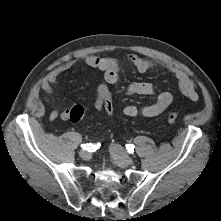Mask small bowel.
Segmentation results:
<instances>
[{
	"instance_id": "c3829d8e",
	"label": "small bowel",
	"mask_w": 221,
	"mask_h": 221,
	"mask_svg": "<svg viewBox=\"0 0 221 221\" xmlns=\"http://www.w3.org/2000/svg\"><path fill=\"white\" fill-rule=\"evenodd\" d=\"M82 60L92 69L102 72V80L97 86L95 96V108L102 110L103 97L106 94H111V86L116 84L119 79V73L123 62L110 57H104L99 54H88L86 56L69 59L57 64L52 71L45 77L42 82V89L46 98L52 96L56 86L62 84L60 74L71 68L76 61ZM124 62L132 66L138 73H145L155 67H164L170 71L176 79L180 92L186 96L190 101L196 102L199 98L196 85L193 81L180 69L162 64L156 60L141 57L135 54H129ZM126 92L129 95H154L155 88L148 82H132L127 86ZM112 95V94H111ZM173 96L169 91H162L156 95V101L153 104L137 107L135 105H127L123 109V113L127 117H156L164 112L172 103ZM70 109L66 108L59 110L57 107L50 112V119L55 120L61 118L62 120L69 119Z\"/></svg>"
}]
</instances>
